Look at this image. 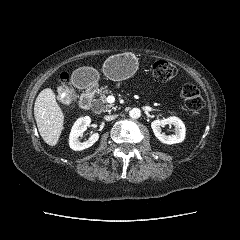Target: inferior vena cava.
Instances as JSON below:
<instances>
[{
  "label": "inferior vena cava",
  "instance_id": "1",
  "mask_svg": "<svg viewBox=\"0 0 240 240\" xmlns=\"http://www.w3.org/2000/svg\"><path fill=\"white\" fill-rule=\"evenodd\" d=\"M116 118V115H106L105 117H104V119L106 120V121H111V120H113V119H115Z\"/></svg>",
  "mask_w": 240,
  "mask_h": 240
}]
</instances>
